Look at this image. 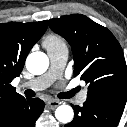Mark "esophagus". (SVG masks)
Segmentation results:
<instances>
[{"instance_id": "1", "label": "esophagus", "mask_w": 127, "mask_h": 127, "mask_svg": "<svg viewBox=\"0 0 127 127\" xmlns=\"http://www.w3.org/2000/svg\"><path fill=\"white\" fill-rule=\"evenodd\" d=\"M60 102L57 100H50L47 102V106L49 109L54 110L59 106Z\"/></svg>"}]
</instances>
